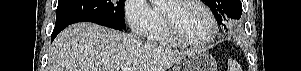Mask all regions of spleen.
I'll return each instance as SVG.
<instances>
[{
    "label": "spleen",
    "mask_w": 301,
    "mask_h": 71,
    "mask_svg": "<svg viewBox=\"0 0 301 71\" xmlns=\"http://www.w3.org/2000/svg\"><path fill=\"white\" fill-rule=\"evenodd\" d=\"M228 66L230 68V71H241L240 69V66L233 60H229L228 61Z\"/></svg>",
    "instance_id": "spleen-1"
}]
</instances>
